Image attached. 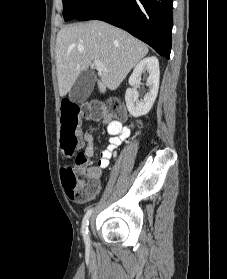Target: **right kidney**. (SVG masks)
<instances>
[{
    "label": "right kidney",
    "instance_id": "ca27d5eb",
    "mask_svg": "<svg viewBox=\"0 0 227 279\" xmlns=\"http://www.w3.org/2000/svg\"><path fill=\"white\" fill-rule=\"evenodd\" d=\"M145 71L149 73L146 81L149 91L144 99L139 101V94L135 85L140 83L141 75ZM159 76V62L155 56L146 57L135 66L133 73L129 78V84L134 88H128L125 93L127 109L133 117L146 115L151 110L158 94Z\"/></svg>",
    "mask_w": 227,
    "mask_h": 279
}]
</instances>
